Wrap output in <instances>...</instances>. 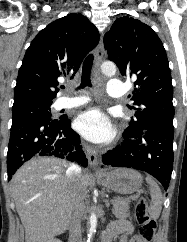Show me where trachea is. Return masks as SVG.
Segmentation results:
<instances>
[{
  "mask_svg": "<svg viewBox=\"0 0 187 242\" xmlns=\"http://www.w3.org/2000/svg\"><path fill=\"white\" fill-rule=\"evenodd\" d=\"M94 56L93 54H89L84 60L82 67V77H81V85L79 88H84L86 86H92L90 80L91 69L93 65ZM61 88H65L62 86Z\"/></svg>",
  "mask_w": 187,
  "mask_h": 242,
  "instance_id": "3493384b",
  "label": "trachea"
}]
</instances>
